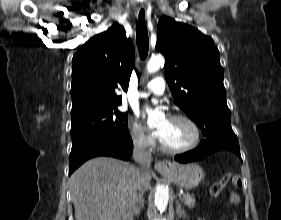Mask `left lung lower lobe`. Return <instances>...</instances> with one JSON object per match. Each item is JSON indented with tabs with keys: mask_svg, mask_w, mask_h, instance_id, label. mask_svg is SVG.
<instances>
[{
	"mask_svg": "<svg viewBox=\"0 0 281 220\" xmlns=\"http://www.w3.org/2000/svg\"><path fill=\"white\" fill-rule=\"evenodd\" d=\"M221 150L232 151L241 159L238 140H222L220 142L204 140L197 149L181 155H176L175 160L180 163L197 161Z\"/></svg>",
	"mask_w": 281,
	"mask_h": 220,
	"instance_id": "0a47b994",
	"label": "left lung lower lobe"
}]
</instances>
